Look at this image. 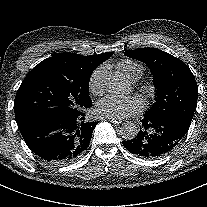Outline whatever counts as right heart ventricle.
Wrapping results in <instances>:
<instances>
[{"instance_id":"right-heart-ventricle-1","label":"right heart ventricle","mask_w":207,"mask_h":207,"mask_svg":"<svg viewBox=\"0 0 207 207\" xmlns=\"http://www.w3.org/2000/svg\"><path fill=\"white\" fill-rule=\"evenodd\" d=\"M119 69L131 80L136 81L143 74V67L132 60H122L118 63Z\"/></svg>"}]
</instances>
